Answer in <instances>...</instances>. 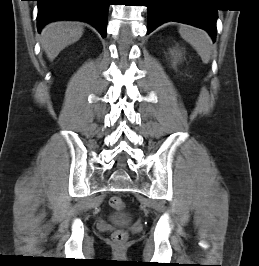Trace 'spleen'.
I'll list each match as a JSON object with an SVG mask.
<instances>
[{
  "label": "spleen",
  "instance_id": "1",
  "mask_svg": "<svg viewBox=\"0 0 259 266\" xmlns=\"http://www.w3.org/2000/svg\"><path fill=\"white\" fill-rule=\"evenodd\" d=\"M181 37L197 51L203 63L207 64L211 57V39L209 35L201 30L188 25L179 28Z\"/></svg>",
  "mask_w": 259,
  "mask_h": 266
}]
</instances>
